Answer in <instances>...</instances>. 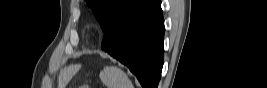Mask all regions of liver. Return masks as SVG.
I'll use <instances>...</instances> for the list:
<instances>
[{"label": "liver", "mask_w": 267, "mask_h": 88, "mask_svg": "<svg viewBox=\"0 0 267 88\" xmlns=\"http://www.w3.org/2000/svg\"><path fill=\"white\" fill-rule=\"evenodd\" d=\"M76 71V66H69L63 70H61L59 78H58V86L59 88H64L68 81L72 78Z\"/></svg>", "instance_id": "1"}]
</instances>
